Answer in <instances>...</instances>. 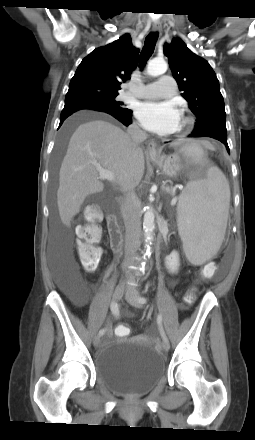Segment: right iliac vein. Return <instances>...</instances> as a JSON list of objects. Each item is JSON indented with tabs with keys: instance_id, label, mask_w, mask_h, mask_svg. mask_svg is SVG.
Returning <instances> with one entry per match:
<instances>
[{
	"instance_id": "obj_1",
	"label": "right iliac vein",
	"mask_w": 255,
	"mask_h": 440,
	"mask_svg": "<svg viewBox=\"0 0 255 440\" xmlns=\"http://www.w3.org/2000/svg\"><path fill=\"white\" fill-rule=\"evenodd\" d=\"M124 289H125V286L122 283L119 284L115 288V290L113 292V295H112L113 302H117V301H119L121 299V297L123 295V292H124ZM99 343H100V337L97 335L93 339V344H94L95 347H97L99 345Z\"/></svg>"
}]
</instances>
